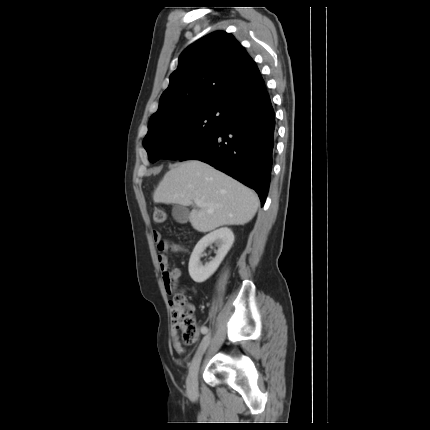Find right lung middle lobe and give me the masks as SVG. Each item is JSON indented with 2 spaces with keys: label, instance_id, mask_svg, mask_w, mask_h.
<instances>
[{
  "label": "right lung middle lobe",
  "instance_id": "1",
  "mask_svg": "<svg viewBox=\"0 0 430 430\" xmlns=\"http://www.w3.org/2000/svg\"><path fill=\"white\" fill-rule=\"evenodd\" d=\"M224 119V107L209 103L148 126L143 146L149 160L181 159L214 136Z\"/></svg>",
  "mask_w": 430,
  "mask_h": 430
}]
</instances>
